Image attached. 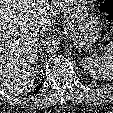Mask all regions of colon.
<instances>
[{"mask_svg":"<svg viewBox=\"0 0 113 113\" xmlns=\"http://www.w3.org/2000/svg\"><path fill=\"white\" fill-rule=\"evenodd\" d=\"M100 13L109 20H113V0H94Z\"/></svg>","mask_w":113,"mask_h":113,"instance_id":"5ec220e1","label":"colon"}]
</instances>
